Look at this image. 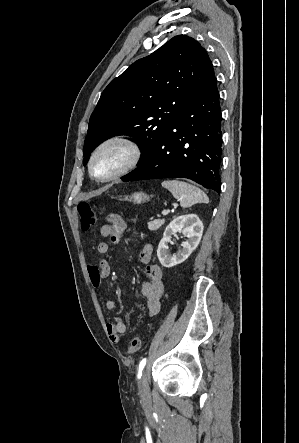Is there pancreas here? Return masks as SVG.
<instances>
[{"label":"pancreas","instance_id":"1","mask_svg":"<svg viewBox=\"0 0 299 443\" xmlns=\"http://www.w3.org/2000/svg\"><path fill=\"white\" fill-rule=\"evenodd\" d=\"M165 220L163 219H155L148 222V229L151 231H156L158 230L163 224H164Z\"/></svg>","mask_w":299,"mask_h":443}]
</instances>
